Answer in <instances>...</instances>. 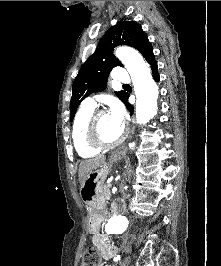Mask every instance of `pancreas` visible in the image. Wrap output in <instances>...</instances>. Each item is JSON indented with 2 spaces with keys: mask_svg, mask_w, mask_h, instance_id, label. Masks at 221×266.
I'll use <instances>...</instances> for the list:
<instances>
[{
  "mask_svg": "<svg viewBox=\"0 0 221 266\" xmlns=\"http://www.w3.org/2000/svg\"><path fill=\"white\" fill-rule=\"evenodd\" d=\"M103 193L105 198H109L110 197V185H103Z\"/></svg>",
  "mask_w": 221,
  "mask_h": 266,
  "instance_id": "cf45deb5",
  "label": "pancreas"
}]
</instances>
